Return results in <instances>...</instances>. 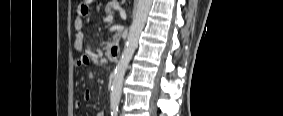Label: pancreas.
Here are the masks:
<instances>
[{
  "mask_svg": "<svg viewBox=\"0 0 283 116\" xmlns=\"http://www.w3.org/2000/svg\"><path fill=\"white\" fill-rule=\"evenodd\" d=\"M118 5V2L116 0L112 1V2H109L105 8V12L107 15H111L112 13V9Z\"/></svg>",
  "mask_w": 283,
  "mask_h": 116,
  "instance_id": "1",
  "label": "pancreas"
}]
</instances>
